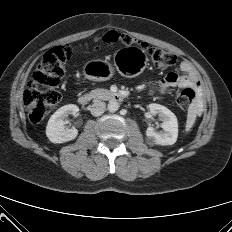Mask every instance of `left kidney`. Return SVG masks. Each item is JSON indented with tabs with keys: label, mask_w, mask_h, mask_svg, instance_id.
I'll return each mask as SVG.
<instances>
[{
	"label": "left kidney",
	"mask_w": 232,
	"mask_h": 232,
	"mask_svg": "<svg viewBox=\"0 0 232 232\" xmlns=\"http://www.w3.org/2000/svg\"><path fill=\"white\" fill-rule=\"evenodd\" d=\"M152 115H158L163 121L161 124L163 132H157L153 127H148L146 136L150 143L157 145H173L178 137V122L175 114L160 104H149Z\"/></svg>",
	"instance_id": "1"
}]
</instances>
